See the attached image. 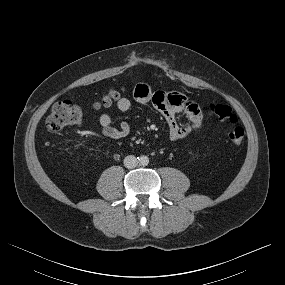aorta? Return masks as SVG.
Listing matches in <instances>:
<instances>
[{
  "mask_svg": "<svg viewBox=\"0 0 285 285\" xmlns=\"http://www.w3.org/2000/svg\"><path fill=\"white\" fill-rule=\"evenodd\" d=\"M139 164L142 166H146L149 164V158L145 155L139 157Z\"/></svg>",
  "mask_w": 285,
  "mask_h": 285,
  "instance_id": "obj_1",
  "label": "aorta"
}]
</instances>
